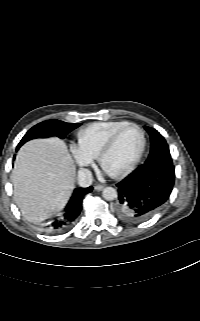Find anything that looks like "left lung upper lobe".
<instances>
[{"instance_id":"1","label":"left lung upper lobe","mask_w":200,"mask_h":321,"mask_svg":"<svg viewBox=\"0 0 200 321\" xmlns=\"http://www.w3.org/2000/svg\"><path fill=\"white\" fill-rule=\"evenodd\" d=\"M144 128L149 133L151 139V150L145 163H173L164 137L156 129L147 126H144Z\"/></svg>"}]
</instances>
